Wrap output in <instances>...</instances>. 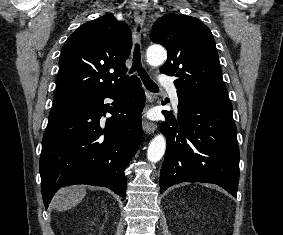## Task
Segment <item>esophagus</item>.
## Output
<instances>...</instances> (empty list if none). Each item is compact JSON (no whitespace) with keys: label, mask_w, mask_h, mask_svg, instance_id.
I'll return each mask as SVG.
<instances>
[{"label":"esophagus","mask_w":283,"mask_h":235,"mask_svg":"<svg viewBox=\"0 0 283 235\" xmlns=\"http://www.w3.org/2000/svg\"><path fill=\"white\" fill-rule=\"evenodd\" d=\"M145 17H146V11H145L144 7H141V6L136 7L135 10H134V20H135V22L137 24H143ZM147 101H148L147 107H149V105L153 101V98L149 93L147 94ZM142 126H143L144 132L147 133V134L153 133L156 130V127H157L155 123L148 121L146 119L143 120Z\"/></svg>","instance_id":"34e87169"}]
</instances>
